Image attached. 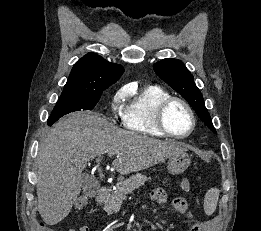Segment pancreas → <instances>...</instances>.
<instances>
[{
    "label": "pancreas",
    "instance_id": "cf45deb5",
    "mask_svg": "<svg viewBox=\"0 0 261 231\" xmlns=\"http://www.w3.org/2000/svg\"><path fill=\"white\" fill-rule=\"evenodd\" d=\"M149 179V177L142 173L133 174L125 180L120 179L115 188L111 190V194L108 195L104 201L105 211L110 214L119 211L122 202L126 199L127 194L139 188Z\"/></svg>",
    "mask_w": 261,
    "mask_h": 231
}]
</instances>
